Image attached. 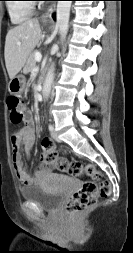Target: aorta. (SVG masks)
I'll return each mask as SVG.
<instances>
[{
	"instance_id": "obj_1",
	"label": "aorta",
	"mask_w": 133,
	"mask_h": 253,
	"mask_svg": "<svg viewBox=\"0 0 133 253\" xmlns=\"http://www.w3.org/2000/svg\"><path fill=\"white\" fill-rule=\"evenodd\" d=\"M72 1H58L57 10H56V25L59 29V34L61 39H65L68 32L70 8ZM54 78V66H52L46 76L44 86H43V95L45 98H48L51 92V87Z\"/></svg>"
}]
</instances>
